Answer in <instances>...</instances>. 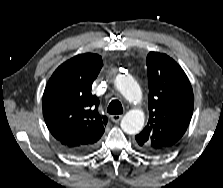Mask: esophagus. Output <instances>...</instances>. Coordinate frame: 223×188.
<instances>
[{
  "label": "esophagus",
  "mask_w": 223,
  "mask_h": 188,
  "mask_svg": "<svg viewBox=\"0 0 223 188\" xmlns=\"http://www.w3.org/2000/svg\"><path fill=\"white\" fill-rule=\"evenodd\" d=\"M123 115H112L111 120L115 123L119 122L122 119Z\"/></svg>",
  "instance_id": "esophagus-1"
}]
</instances>
